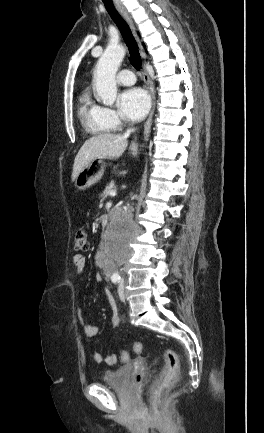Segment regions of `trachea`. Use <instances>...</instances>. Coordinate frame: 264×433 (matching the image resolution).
Returning a JSON list of instances; mask_svg holds the SVG:
<instances>
[{
    "label": "trachea",
    "mask_w": 264,
    "mask_h": 433,
    "mask_svg": "<svg viewBox=\"0 0 264 433\" xmlns=\"http://www.w3.org/2000/svg\"><path fill=\"white\" fill-rule=\"evenodd\" d=\"M107 12L109 13L112 20L115 22L117 27L119 28L126 45L128 47L129 53H130V62L133 65L134 68L140 69L141 68V56L137 47V44L135 42V39L131 33V30L129 26L127 25L126 21L123 19V17L118 13L116 8L114 7V4L112 0H102Z\"/></svg>",
    "instance_id": "trachea-1"
}]
</instances>
